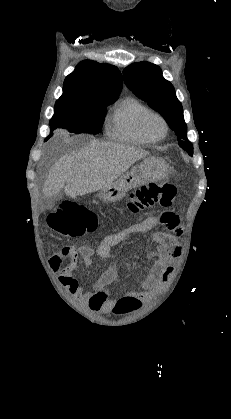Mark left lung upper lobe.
Returning <instances> with one entry per match:
<instances>
[{"mask_svg":"<svg viewBox=\"0 0 231 419\" xmlns=\"http://www.w3.org/2000/svg\"><path fill=\"white\" fill-rule=\"evenodd\" d=\"M123 75L127 87L163 116L175 131L179 146L192 155L193 146L187 138L182 105L173 85L164 79L160 67L145 61L133 63L124 69Z\"/></svg>","mask_w":231,"mask_h":419,"instance_id":"left-lung-upper-lobe-1","label":"left lung upper lobe"}]
</instances>
